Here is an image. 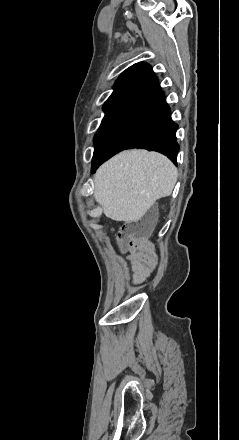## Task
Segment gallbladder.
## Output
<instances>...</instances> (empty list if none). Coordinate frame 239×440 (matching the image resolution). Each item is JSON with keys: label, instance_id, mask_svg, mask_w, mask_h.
<instances>
[{"label": "gallbladder", "instance_id": "obj_1", "mask_svg": "<svg viewBox=\"0 0 239 440\" xmlns=\"http://www.w3.org/2000/svg\"><path fill=\"white\" fill-rule=\"evenodd\" d=\"M152 210H153V208H151V210H149L148 214H146V216H145V224H146V226H151V224H150V216H151Z\"/></svg>", "mask_w": 239, "mask_h": 440}]
</instances>
